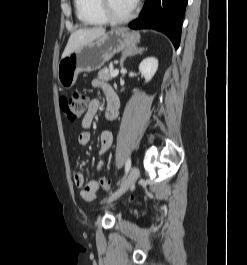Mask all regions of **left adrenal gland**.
<instances>
[{"mask_svg":"<svg viewBox=\"0 0 247 265\" xmlns=\"http://www.w3.org/2000/svg\"><path fill=\"white\" fill-rule=\"evenodd\" d=\"M145 51L144 48H129V49H126L123 53H122V57L120 59V67L123 68V65H124V61L127 57H132V56H135V55H138V54H142L143 52Z\"/></svg>","mask_w":247,"mask_h":265,"instance_id":"left-adrenal-gland-1","label":"left adrenal gland"}]
</instances>
